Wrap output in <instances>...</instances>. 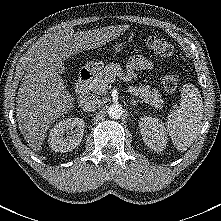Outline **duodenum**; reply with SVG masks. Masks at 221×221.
<instances>
[{
    "instance_id": "1",
    "label": "duodenum",
    "mask_w": 221,
    "mask_h": 221,
    "mask_svg": "<svg viewBox=\"0 0 221 221\" xmlns=\"http://www.w3.org/2000/svg\"><path fill=\"white\" fill-rule=\"evenodd\" d=\"M92 80V73L88 69H82L79 73L78 80L76 83V89H77V104L79 107H82L89 98L88 95V88L89 83Z\"/></svg>"
}]
</instances>
